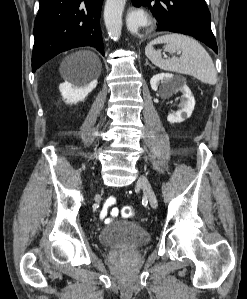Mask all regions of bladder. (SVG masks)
Listing matches in <instances>:
<instances>
[{"instance_id":"bladder-1","label":"bladder","mask_w":247,"mask_h":299,"mask_svg":"<svg viewBox=\"0 0 247 299\" xmlns=\"http://www.w3.org/2000/svg\"><path fill=\"white\" fill-rule=\"evenodd\" d=\"M98 238L99 242L106 247H133L147 245L150 234L135 222L115 221L101 229Z\"/></svg>"}]
</instances>
